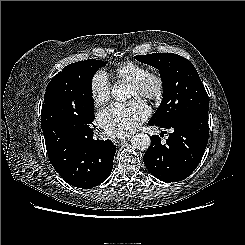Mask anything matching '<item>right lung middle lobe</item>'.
Segmentation results:
<instances>
[{
	"instance_id": "obj_1",
	"label": "right lung middle lobe",
	"mask_w": 245,
	"mask_h": 245,
	"mask_svg": "<svg viewBox=\"0 0 245 245\" xmlns=\"http://www.w3.org/2000/svg\"><path fill=\"white\" fill-rule=\"evenodd\" d=\"M107 62L89 59L69 64L76 89L74 102L63 114L61 124L69 131H87L94 119V100L92 98V78L94 73Z\"/></svg>"
}]
</instances>
